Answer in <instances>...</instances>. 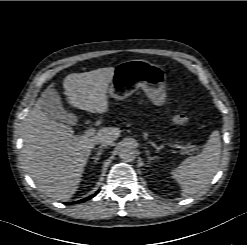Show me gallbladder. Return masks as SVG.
I'll use <instances>...</instances> for the list:
<instances>
[{
    "label": "gallbladder",
    "mask_w": 247,
    "mask_h": 245,
    "mask_svg": "<svg viewBox=\"0 0 247 245\" xmlns=\"http://www.w3.org/2000/svg\"><path fill=\"white\" fill-rule=\"evenodd\" d=\"M41 110L51 119L68 122L72 116L63 107L58 92L53 88H47L39 98Z\"/></svg>",
    "instance_id": "gallbladder-1"
}]
</instances>
